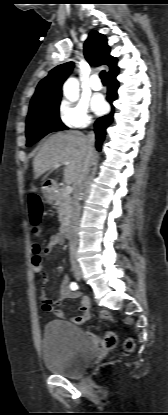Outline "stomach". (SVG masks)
Instances as JSON below:
<instances>
[{"mask_svg":"<svg viewBox=\"0 0 168 415\" xmlns=\"http://www.w3.org/2000/svg\"><path fill=\"white\" fill-rule=\"evenodd\" d=\"M44 196H45V198L47 199V201H48L49 203H51V202H52V200H53L54 194H53V192H52V191H50V190H45V191H44Z\"/></svg>","mask_w":168,"mask_h":415,"instance_id":"obj_1","label":"stomach"}]
</instances>
